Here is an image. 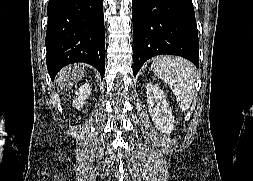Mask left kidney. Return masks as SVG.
<instances>
[{
    "instance_id": "5707ae66",
    "label": "left kidney",
    "mask_w": 253,
    "mask_h": 181,
    "mask_svg": "<svg viewBox=\"0 0 253 181\" xmlns=\"http://www.w3.org/2000/svg\"><path fill=\"white\" fill-rule=\"evenodd\" d=\"M146 94L149 113L155 126L162 133H171L174 127V116L164 92L157 85L147 83Z\"/></svg>"
}]
</instances>
